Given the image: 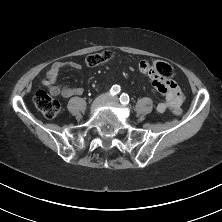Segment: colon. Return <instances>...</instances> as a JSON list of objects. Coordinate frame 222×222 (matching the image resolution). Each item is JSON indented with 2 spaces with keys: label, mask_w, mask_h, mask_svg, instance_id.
<instances>
[{
  "label": "colon",
  "mask_w": 222,
  "mask_h": 222,
  "mask_svg": "<svg viewBox=\"0 0 222 222\" xmlns=\"http://www.w3.org/2000/svg\"><path fill=\"white\" fill-rule=\"evenodd\" d=\"M111 57L112 54L108 50L94 52L86 57L85 63L91 67L102 66L106 64ZM149 64L153 66L156 72L164 76L166 81H169L174 77V69L169 63L165 61H155ZM34 104L37 109L48 119L55 118L60 111L59 102L49 93L43 90L36 92L34 95ZM180 112V109H172V113L175 115H179Z\"/></svg>",
  "instance_id": "obj_1"
}]
</instances>
